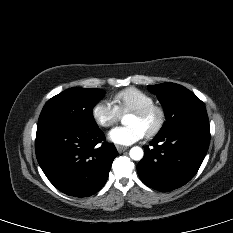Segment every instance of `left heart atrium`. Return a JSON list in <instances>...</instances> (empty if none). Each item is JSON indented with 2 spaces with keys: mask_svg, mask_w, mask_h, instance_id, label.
<instances>
[{
  "mask_svg": "<svg viewBox=\"0 0 233 233\" xmlns=\"http://www.w3.org/2000/svg\"><path fill=\"white\" fill-rule=\"evenodd\" d=\"M146 135L145 131L136 124L120 126L108 133L109 139L118 145H131Z\"/></svg>",
  "mask_w": 233,
  "mask_h": 233,
  "instance_id": "1",
  "label": "left heart atrium"
}]
</instances>
